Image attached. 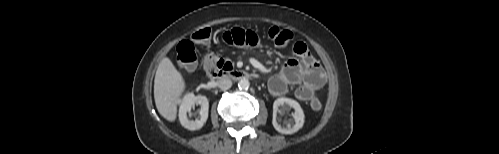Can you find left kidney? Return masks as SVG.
<instances>
[{"mask_svg":"<svg viewBox=\"0 0 499 154\" xmlns=\"http://www.w3.org/2000/svg\"><path fill=\"white\" fill-rule=\"evenodd\" d=\"M290 109H293L292 117L293 121H288L285 123V126L278 124L277 122V114L288 112ZM304 112L300 106V104L290 98H278L274 101L273 104V126L274 128L282 133V134H293L297 132L299 129L303 127L304 124Z\"/></svg>","mask_w":499,"mask_h":154,"instance_id":"left-kidney-1","label":"left kidney"}]
</instances>
